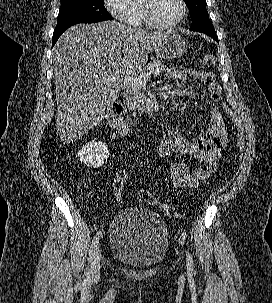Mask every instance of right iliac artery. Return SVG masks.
<instances>
[{
	"mask_svg": "<svg viewBox=\"0 0 272 303\" xmlns=\"http://www.w3.org/2000/svg\"><path fill=\"white\" fill-rule=\"evenodd\" d=\"M99 235L95 236L94 239L92 240V244L90 246V250H89V257H88V261L90 262L92 260V256L94 253L95 248L97 247L98 243H99Z\"/></svg>",
	"mask_w": 272,
	"mask_h": 303,
	"instance_id": "1",
	"label": "right iliac artery"
}]
</instances>
